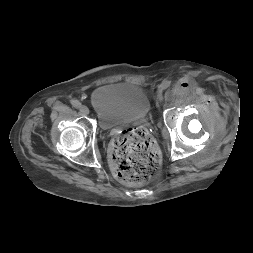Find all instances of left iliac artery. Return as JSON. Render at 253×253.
<instances>
[{"label": "left iliac artery", "instance_id": "left-iliac-artery-1", "mask_svg": "<svg viewBox=\"0 0 253 253\" xmlns=\"http://www.w3.org/2000/svg\"><path fill=\"white\" fill-rule=\"evenodd\" d=\"M170 84H171V82L168 81V80H166V81H164V82L160 85V88H161V89H166V88H168V87L170 86Z\"/></svg>", "mask_w": 253, "mask_h": 253}]
</instances>
